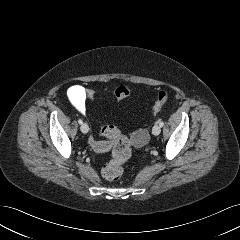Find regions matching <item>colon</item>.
<instances>
[{"instance_id":"obj_1","label":"colon","mask_w":240,"mask_h":240,"mask_svg":"<svg viewBox=\"0 0 240 240\" xmlns=\"http://www.w3.org/2000/svg\"><path fill=\"white\" fill-rule=\"evenodd\" d=\"M114 95L117 101H122L130 95V91L125 86H118ZM86 97L89 100H94L95 91L92 88H86ZM169 94L167 91H160L152 106V114H157L162 106L168 101ZM102 136L112 140V157L111 160L103 167L102 175L108 181H116L121 178L123 173V165L131 156V144L134 140H130L123 135L120 130L113 125H105L100 128Z\"/></svg>"}]
</instances>
